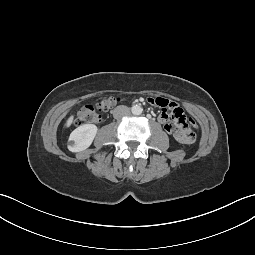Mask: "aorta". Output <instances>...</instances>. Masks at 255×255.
<instances>
[{
  "instance_id": "762f6f07",
  "label": "aorta",
  "mask_w": 255,
  "mask_h": 255,
  "mask_svg": "<svg viewBox=\"0 0 255 255\" xmlns=\"http://www.w3.org/2000/svg\"><path fill=\"white\" fill-rule=\"evenodd\" d=\"M143 109L140 105H133L131 108V112L134 115H140L142 113Z\"/></svg>"
}]
</instances>
